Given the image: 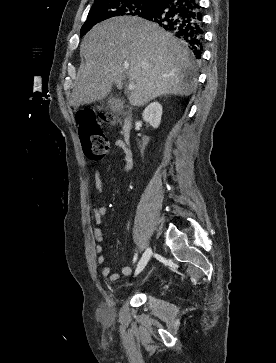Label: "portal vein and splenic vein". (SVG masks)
I'll return each instance as SVG.
<instances>
[{"mask_svg":"<svg viewBox=\"0 0 276 363\" xmlns=\"http://www.w3.org/2000/svg\"><path fill=\"white\" fill-rule=\"evenodd\" d=\"M135 87H136V86H135L134 84H129V85H128V89H129V90H133Z\"/></svg>","mask_w":276,"mask_h":363,"instance_id":"1","label":"portal vein and splenic vein"}]
</instances>
